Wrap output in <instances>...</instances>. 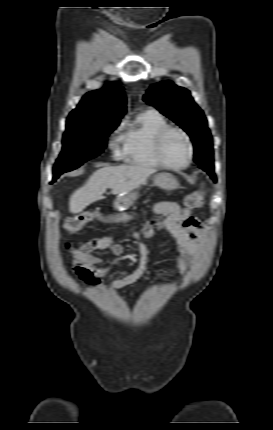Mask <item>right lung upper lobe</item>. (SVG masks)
<instances>
[{
    "instance_id": "right-lung-upper-lobe-1",
    "label": "right lung upper lobe",
    "mask_w": 273,
    "mask_h": 430,
    "mask_svg": "<svg viewBox=\"0 0 273 430\" xmlns=\"http://www.w3.org/2000/svg\"><path fill=\"white\" fill-rule=\"evenodd\" d=\"M126 111L123 87L114 82L100 90L88 92L69 116L92 120L120 121Z\"/></svg>"
}]
</instances>
